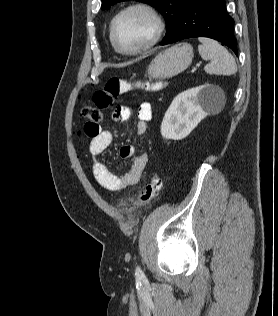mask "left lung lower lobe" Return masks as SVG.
Returning a JSON list of instances; mask_svg holds the SVG:
<instances>
[{
	"instance_id": "obj_1",
	"label": "left lung lower lobe",
	"mask_w": 278,
	"mask_h": 316,
	"mask_svg": "<svg viewBox=\"0 0 278 316\" xmlns=\"http://www.w3.org/2000/svg\"><path fill=\"white\" fill-rule=\"evenodd\" d=\"M200 36L222 42L237 55L234 20L228 15L224 0H187L173 32L160 45Z\"/></svg>"
}]
</instances>
